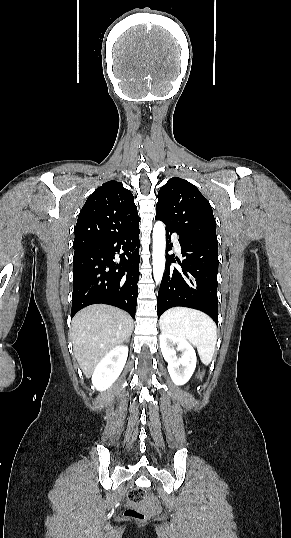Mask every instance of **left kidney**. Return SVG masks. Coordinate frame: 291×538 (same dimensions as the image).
I'll return each mask as SVG.
<instances>
[{
  "label": "left kidney",
  "mask_w": 291,
  "mask_h": 538,
  "mask_svg": "<svg viewBox=\"0 0 291 538\" xmlns=\"http://www.w3.org/2000/svg\"><path fill=\"white\" fill-rule=\"evenodd\" d=\"M159 341L162 355L168 362V372L172 381L176 385H184L196 368L197 358L194 348L186 339L167 332L160 334ZM176 351L181 352L179 357Z\"/></svg>",
  "instance_id": "obj_1"
}]
</instances>
